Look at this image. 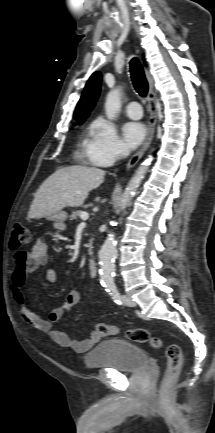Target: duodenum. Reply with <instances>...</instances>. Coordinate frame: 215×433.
Returning a JSON list of instances; mask_svg holds the SVG:
<instances>
[{
	"label": "duodenum",
	"instance_id": "obj_1",
	"mask_svg": "<svg viewBox=\"0 0 215 433\" xmlns=\"http://www.w3.org/2000/svg\"><path fill=\"white\" fill-rule=\"evenodd\" d=\"M87 267H88L90 275L92 277L96 278L98 276V268H97L96 262L92 259L88 260Z\"/></svg>",
	"mask_w": 215,
	"mask_h": 433
}]
</instances>
